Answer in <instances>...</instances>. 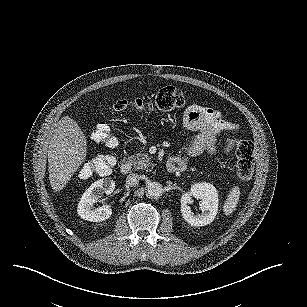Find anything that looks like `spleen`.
<instances>
[{
	"label": "spleen",
	"instance_id": "1",
	"mask_svg": "<svg viewBox=\"0 0 307 307\" xmlns=\"http://www.w3.org/2000/svg\"><path fill=\"white\" fill-rule=\"evenodd\" d=\"M239 197H240V188L238 186H234L229 192L227 199L223 205V212L226 216H229L230 214L233 213V211H235L239 201Z\"/></svg>",
	"mask_w": 307,
	"mask_h": 307
}]
</instances>
